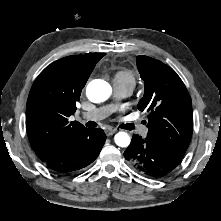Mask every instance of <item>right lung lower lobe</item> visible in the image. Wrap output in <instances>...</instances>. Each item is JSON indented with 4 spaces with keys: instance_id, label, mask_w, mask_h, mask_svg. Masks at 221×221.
I'll return each mask as SVG.
<instances>
[{
    "instance_id": "98d812e1",
    "label": "right lung lower lobe",
    "mask_w": 221,
    "mask_h": 221,
    "mask_svg": "<svg viewBox=\"0 0 221 221\" xmlns=\"http://www.w3.org/2000/svg\"><path fill=\"white\" fill-rule=\"evenodd\" d=\"M105 140L106 135L102 129H87L68 143L56 156L45 162V165L56 174L77 173L98 157Z\"/></svg>"
}]
</instances>
